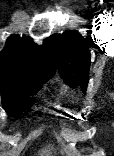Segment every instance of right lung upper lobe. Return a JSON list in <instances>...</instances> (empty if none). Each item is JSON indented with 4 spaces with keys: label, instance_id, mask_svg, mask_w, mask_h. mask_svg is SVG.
<instances>
[{
    "label": "right lung upper lobe",
    "instance_id": "cb5924a9",
    "mask_svg": "<svg viewBox=\"0 0 114 156\" xmlns=\"http://www.w3.org/2000/svg\"><path fill=\"white\" fill-rule=\"evenodd\" d=\"M55 67L44 46H38L28 36H10L0 52V79L17 81L27 77L50 76Z\"/></svg>",
    "mask_w": 114,
    "mask_h": 156
}]
</instances>
